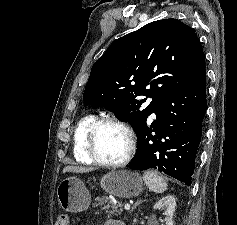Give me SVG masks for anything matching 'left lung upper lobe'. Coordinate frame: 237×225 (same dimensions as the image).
<instances>
[{
  "mask_svg": "<svg viewBox=\"0 0 237 225\" xmlns=\"http://www.w3.org/2000/svg\"><path fill=\"white\" fill-rule=\"evenodd\" d=\"M205 79L196 33L180 20H158L108 47L92 66L83 100L114 112L136 132L159 99ZM141 96L152 98L146 108Z\"/></svg>",
  "mask_w": 237,
  "mask_h": 225,
  "instance_id": "5c2ea615",
  "label": "left lung upper lobe"
}]
</instances>
